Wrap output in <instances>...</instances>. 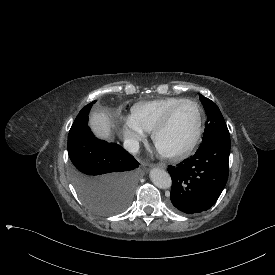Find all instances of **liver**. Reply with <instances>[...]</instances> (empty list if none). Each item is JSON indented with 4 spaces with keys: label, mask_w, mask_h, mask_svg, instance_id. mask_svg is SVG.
Returning <instances> with one entry per match:
<instances>
[{
    "label": "liver",
    "mask_w": 275,
    "mask_h": 275,
    "mask_svg": "<svg viewBox=\"0 0 275 275\" xmlns=\"http://www.w3.org/2000/svg\"><path fill=\"white\" fill-rule=\"evenodd\" d=\"M88 126L96 138L109 140L112 136V118L104 110L94 111L89 115Z\"/></svg>",
    "instance_id": "liver-1"
}]
</instances>
